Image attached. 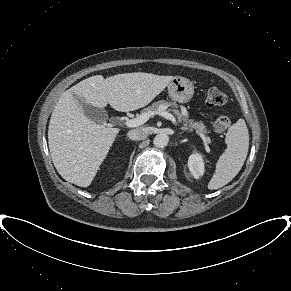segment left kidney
<instances>
[{
  "instance_id": "obj_1",
  "label": "left kidney",
  "mask_w": 291,
  "mask_h": 291,
  "mask_svg": "<svg viewBox=\"0 0 291 291\" xmlns=\"http://www.w3.org/2000/svg\"><path fill=\"white\" fill-rule=\"evenodd\" d=\"M188 168L196 179L204 174V161L200 153H193L189 156Z\"/></svg>"
}]
</instances>
